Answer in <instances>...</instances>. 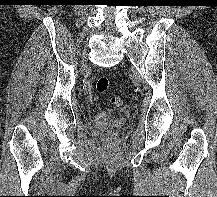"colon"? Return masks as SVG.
<instances>
[{
  "label": "colon",
  "instance_id": "obj_1",
  "mask_svg": "<svg viewBox=\"0 0 217 197\" xmlns=\"http://www.w3.org/2000/svg\"><path fill=\"white\" fill-rule=\"evenodd\" d=\"M95 88H96L97 92H99V93H105L108 90V88H109V79H108V77H106V76L99 77L96 80ZM110 102H111V104L114 107H120L123 104V101H122L121 97H119V96H113L110 99ZM116 139H117V135L114 132L111 133L108 136V141L110 143H112V144L115 143Z\"/></svg>",
  "mask_w": 217,
  "mask_h": 197
}]
</instances>
